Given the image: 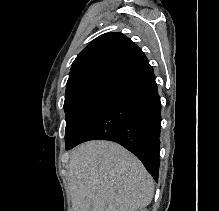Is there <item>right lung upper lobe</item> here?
Returning a JSON list of instances; mask_svg holds the SVG:
<instances>
[{
	"instance_id": "obj_1",
	"label": "right lung upper lobe",
	"mask_w": 219,
	"mask_h": 211,
	"mask_svg": "<svg viewBox=\"0 0 219 211\" xmlns=\"http://www.w3.org/2000/svg\"><path fill=\"white\" fill-rule=\"evenodd\" d=\"M149 65L141 49L121 33H106L84 48L72 64L66 96L99 85L116 86Z\"/></svg>"
}]
</instances>
